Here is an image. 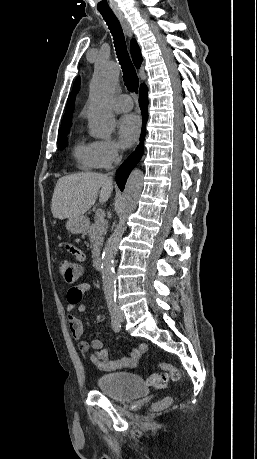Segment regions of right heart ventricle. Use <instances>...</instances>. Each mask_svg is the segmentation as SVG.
<instances>
[{"instance_id":"obj_1","label":"right heart ventricle","mask_w":257,"mask_h":459,"mask_svg":"<svg viewBox=\"0 0 257 459\" xmlns=\"http://www.w3.org/2000/svg\"><path fill=\"white\" fill-rule=\"evenodd\" d=\"M73 155L79 168L83 170L97 168L92 155L91 143H87L84 140L77 141L74 146Z\"/></svg>"}]
</instances>
